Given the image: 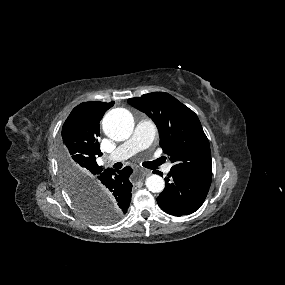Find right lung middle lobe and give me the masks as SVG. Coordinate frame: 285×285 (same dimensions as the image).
Here are the masks:
<instances>
[{"label":"right lung middle lobe","mask_w":285,"mask_h":285,"mask_svg":"<svg viewBox=\"0 0 285 285\" xmlns=\"http://www.w3.org/2000/svg\"><path fill=\"white\" fill-rule=\"evenodd\" d=\"M59 162L65 187L75 207L86 219L96 224L105 225L122 217L112 205L104 202L99 194L80 178L79 173L61 149Z\"/></svg>","instance_id":"obj_1"}]
</instances>
